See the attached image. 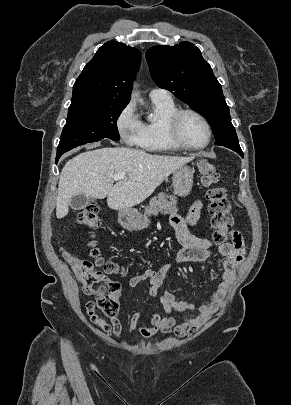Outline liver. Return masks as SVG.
<instances>
[{
    "label": "liver",
    "instance_id": "obj_1",
    "mask_svg": "<svg viewBox=\"0 0 291 405\" xmlns=\"http://www.w3.org/2000/svg\"><path fill=\"white\" fill-rule=\"evenodd\" d=\"M189 157L153 155L132 148H100L81 153L63 167L56 199V216L68 214L71 199L82 193L103 199L114 210L140 204L175 170L190 162ZM125 178L113 186L112 176Z\"/></svg>",
    "mask_w": 291,
    "mask_h": 405
}]
</instances>
